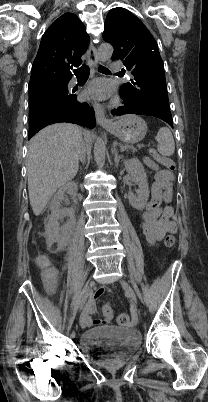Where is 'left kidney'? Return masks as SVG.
Listing matches in <instances>:
<instances>
[{
	"label": "left kidney",
	"mask_w": 208,
	"mask_h": 402,
	"mask_svg": "<svg viewBox=\"0 0 208 402\" xmlns=\"http://www.w3.org/2000/svg\"><path fill=\"white\" fill-rule=\"evenodd\" d=\"M124 166L130 176V182L139 186L138 190H135L136 194L128 192L129 204L136 210H144L150 194L146 172L137 158L124 160Z\"/></svg>",
	"instance_id": "5707ae66"
}]
</instances>
